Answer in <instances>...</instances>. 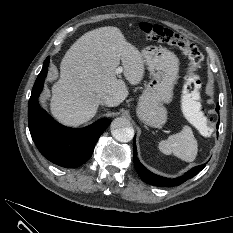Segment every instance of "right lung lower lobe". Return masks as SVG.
Instances as JSON below:
<instances>
[{"label": "right lung lower lobe", "instance_id": "obj_1", "mask_svg": "<svg viewBox=\"0 0 233 233\" xmlns=\"http://www.w3.org/2000/svg\"><path fill=\"white\" fill-rule=\"evenodd\" d=\"M48 64L49 57L44 61L29 99V130L35 145L45 158L65 168H76L91 157L97 140L111 120L100 119L83 129L67 128L53 120L38 104Z\"/></svg>", "mask_w": 233, "mask_h": 233}]
</instances>
